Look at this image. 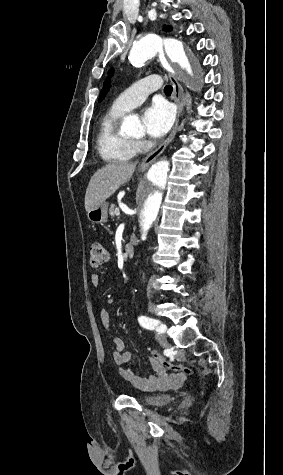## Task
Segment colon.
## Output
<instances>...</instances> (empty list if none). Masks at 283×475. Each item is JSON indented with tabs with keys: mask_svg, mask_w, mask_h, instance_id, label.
Instances as JSON below:
<instances>
[{
	"mask_svg": "<svg viewBox=\"0 0 283 475\" xmlns=\"http://www.w3.org/2000/svg\"><path fill=\"white\" fill-rule=\"evenodd\" d=\"M109 258L108 251L98 242H95L90 247V264L92 267L102 266ZM148 360L149 362L161 372L162 367H166L173 372L177 373L178 376H192L197 374V371L190 367L180 363L174 362L170 358H165L160 353L149 350L148 351Z\"/></svg>",
	"mask_w": 283,
	"mask_h": 475,
	"instance_id": "1",
	"label": "colon"
}]
</instances>
